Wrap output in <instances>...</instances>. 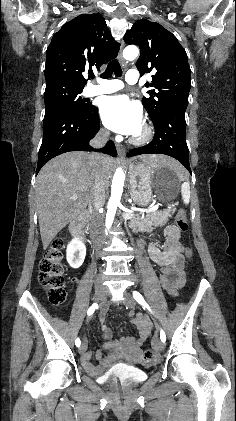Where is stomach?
<instances>
[{"label": "stomach", "mask_w": 236, "mask_h": 421, "mask_svg": "<svg viewBox=\"0 0 236 421\" xmlns=\"http://www.w3.org/2000/svg\"><path fill=\"white\" fill-rule=\"evenodd\" d=\"M130 194L135 204L147 206L154 194L168 202L179 192L181 176L170 166H147L143 162H129Z\"/></svg>", "instance_id": "1"}]
</instances>
